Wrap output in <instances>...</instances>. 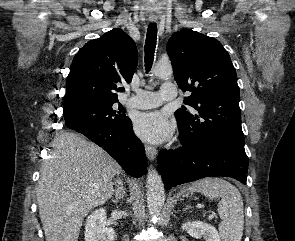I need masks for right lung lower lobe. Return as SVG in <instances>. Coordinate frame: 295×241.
<instances>
[{"label":"right lung lower lobe","mask_w":295,"mask_h":241,"mask_svg":"<svg viewBox=\"0 0 295 241\" xmlns=\"http://www.w3.org/2000/svg\"><path fill=\"white\" fill-rule=\"evenodd\" d=\"M69 128L102 147L129 175L141 177L147 173L145 149L134 134L130 119L124 126L86 122Z\"/></svg>","instance_id":"right-lung-lower-lobe-1"}]
</instances>
